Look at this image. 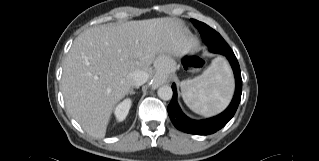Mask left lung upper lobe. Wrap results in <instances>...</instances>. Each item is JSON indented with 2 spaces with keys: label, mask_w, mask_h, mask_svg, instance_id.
I'll return each instance as SVG.
<instances>
[{
  "label": "left lung upper lobe",
  "mask_w": 319,
  "mask_h": 161,
  "mask_svg": "<svg viewBox=\"0 0 319 161\" xmlns=\"http://www.w3.org/2000/svg\"><path fill=\"white\" fill-rule=\"evenodd\" d=\"M194 26L197 28L199 26L202 30L200 32L201 37L204 43L208 46L209 50L213 53H222L224 50L230 49L229 45L225 42V40L221 37L219 33L210 28L208 25L199 22L197 20L191 19ZM205 31L209 32L211 36L205 33Z\"/></svg>",
  "instance_id": "left-lung-upper-lobe-1"
}]
</instances>
